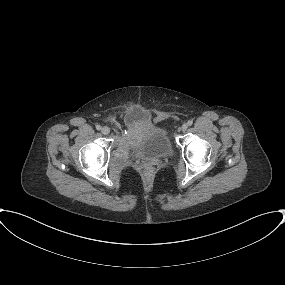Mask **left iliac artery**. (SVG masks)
<instances>
[{
    "label": "left iliac artery",
    "instance_id": "44dca946",
    "mask_svg": "<svg viewBox=\"0 0 285 285\" xmlns=\"http://www.w3.org/2000/svg\"><path fill=\"white\" fill-rule=\"evenodd\" d=\"M187 124H188L189 126H191V125L193 124V121H192V120H189V121L187 122Z\"/></svg>",
    "mask_w": 285,
    "mask_h": 285
}]
</instances>
